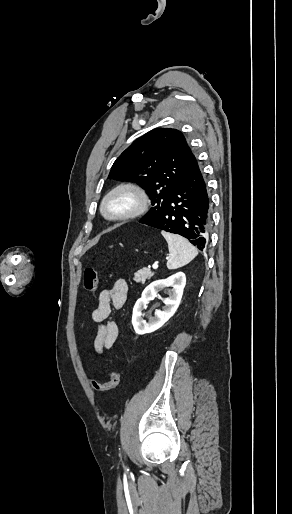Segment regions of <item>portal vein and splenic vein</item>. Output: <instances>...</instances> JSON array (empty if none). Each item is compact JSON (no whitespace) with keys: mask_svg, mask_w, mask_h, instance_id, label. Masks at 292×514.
I'll use <instances>...</instances> for the list:
<instances>
[{"mask_svg":"<svg viewBox=\"0 0 292 514\" xmlns=\"http://www.w3.org/2000/svg\"><path fill=\"white\" fill-rule=\"evenodd\" d=\"M153 268L156 270V268H158L157 264H154Z\"/></svg>","mask_w":292,"mask_h":514,"instance_id":"portal-vein-and-splenic-vein-1","label":"portal vein and splenic vein"}]
</instances>
